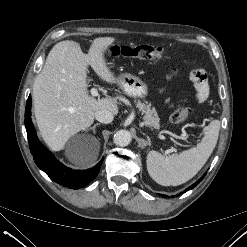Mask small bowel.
<instances>
[{
	"label": "small bowel",
	"mask_w": 247,
	"mask_h": 247,
	"mask_svg": "<svg viewBox=\"0 0 247 247\" xmlns=\"http://www.w3.org/2000/svg\"><path fill=\"white\" fill-rule=\"evenodd\" d=\"M191 80L195 88V97L198 102H203L208 98L209 85L202 69H196L191 73Z\"/></svg>",
	"instance_id": "c3829d8e"
}]
</instances>
